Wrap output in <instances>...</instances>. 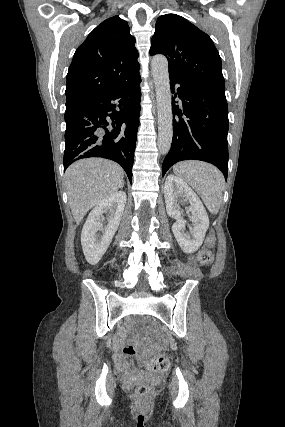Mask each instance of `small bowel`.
<instances>
[{"mask_svg":"<svg viewBox=\"0 0 285 427\" xmlns=\"http://www.w3.org/2000/svg\"><path fill=\"white\" fill-rule=\"evenodd\" d=\"M114 357L116 362L123 368V370L127 371L129 369V364L126 362L122 355V343L117 341L114 344Z\"/></svg>","mask_w":285,"mask_h":427,"instance_id":"obj_1","label":"small bowel"}]
</instances>
